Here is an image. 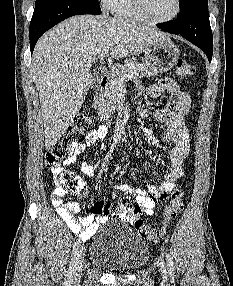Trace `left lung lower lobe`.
I'll use <instances>...</instances> for the list:
<instances>
[{
  "instance_id": "1",
  "label": "left lung lower lobe",
  "mask_w": 233,
  "mask_h": 286,
  "mask_svg": "<svg viewBox=\"0 0 233 286\" xmlns=\"http://www.w3.org/2000/svg\"><path fill=\"white\" fill-rule=\"evenodd\" d=\"M165 32L179 34L199 47L208 57L213 54V36L208 15V0L197 4L194 9L182 18L157 24Z\"/></svg>"
}]
</instances>
